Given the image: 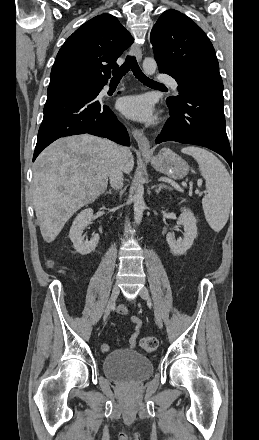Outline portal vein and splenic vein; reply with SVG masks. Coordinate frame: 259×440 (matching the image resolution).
Listing matches in <instances>:
<instances>
[{
	"label": "portal vein and splenic vein",
	"mask_w": 259,
	"mask_h": 440,
	"mask_svg": "<svg viewBox=\"0 0 259 440\" xmlns=\"http://www.w3.org/2000/svg\"><path fill=\"white\" fill-rule=\"evenodd\" d=\"M202 183V181L200 180V181H198V184L200 185Z\"/></svg>",
	"instance_id": "portal-vein-and-splenic-vein-1"
}]
</instances>
